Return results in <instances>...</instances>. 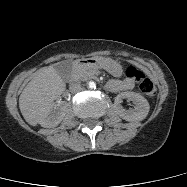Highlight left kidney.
<instances>
[{
    "mask_svg": "<svg viewBox=\"0 0 187 187\" xmlns=\"http://www.w3.org/2000/svg\"><path fill=\"white\" fill-rule=\"evenodd\" d=\"M122 99H129L135 105L133 111H126L122 108ZM117 114L126 121H141L146 118L150 106L148 101L138 93L122 92L117 95L114 102Z\"/></svg>",
    "mask_w": 187,
    "mask_h": 187,
    "instance_id": "1",
    "label": "left kidney"
}]
</instances>
